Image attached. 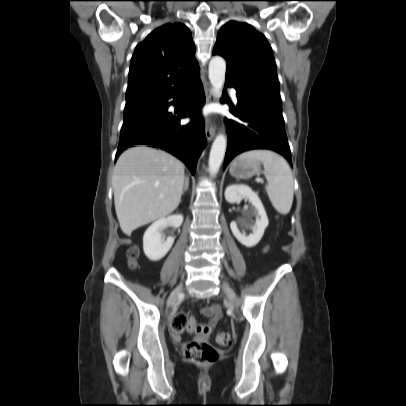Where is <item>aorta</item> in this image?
<instances>
[{
    "instance_id": "aorta-1",
    "label": "aorta",
    "mask_w": 406,
    "mask_h": 406,
    "mask_svg": "<svg viewBox=\"0 0 406 406\" xmlns=\"http://www.w3.org/2000/svg\"><path fill=\"white\" fill-rule=\"evenodd\" d=\"M226 62L220 56H215L209 63V80L212 88L217 96L222 93L225 82ZM227 147L226 136L222 133L218 134L212 144L209 155V170L215 176L219 171L222 161L225 156Z\"/></svg>"
}]
</instances>
